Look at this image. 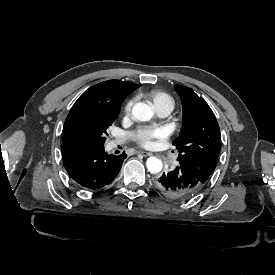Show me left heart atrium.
Wrapping results in <instances>:
<instances>
[{"label":"left heart atrium","mask_w":275,"mask_h":275,"mask_svg":"<svg viewBox=\"0 0 275 275\" xmlns=\"http://www.w3.org/2000/svg\"><path fill=\"white\" fill-rule=\"evenodd\" d=\"M170 135L163 126H142L131 133L135 142L144 148H151L158 142L166 140Z\"/></svg>","instance_id":"obj_1"}]
</instances>
